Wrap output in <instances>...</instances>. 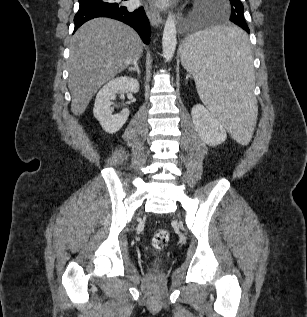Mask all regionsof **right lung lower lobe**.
<instances>
[{
  "label": "right lung lower lobe",
  "instance_id": "98d812e1",
  "mask_svg": "<svg viewBox=\"0 0 307 317\" xmlns=\"http://www.w3.org/2000/svg\"><path fill=\"white\" fill-rule=\"evenodd\" d=\"M79 10L74 17L76 31L86 21L109 17L131 26L145 44L150 42V24L143 7L130 11L119 0H79Z\"/></svg>",
  "mask_w": 307,
  "mask_h": 317
}]
</instances>
